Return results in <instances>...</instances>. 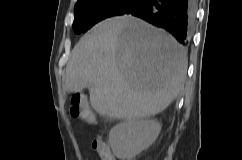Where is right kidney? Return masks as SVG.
<instances>
[{"label":"right kidney","instance_id":"right-kidney-1","mask_svg":"<svg viewBox=\"0 0 242 160\" xmlns=\"http://www.w3.org/2000/svg\"><path fill=\"white\" fill-rule=\"evenodd\" d=\"M160 130L154 119L126 120L110 130L108 142L117 158L131 160L152 145Z\"/></svg>","mask_w":242,"mask_h":160}]
</instances>
